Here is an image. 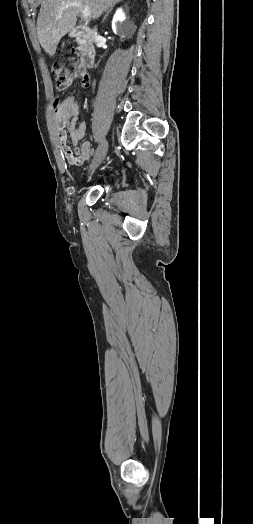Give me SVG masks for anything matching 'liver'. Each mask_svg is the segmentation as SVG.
Masks as SVG:
<instances>
[{
  "label": "liver",
  "instance_id": "obj_1",
  "mask_svg": "<svg viewBox=\"0 0 253 524\" xmlns=\"http://www.w3.org/2000/svg\"><path fill=\"white\" fill-rule=\"evenodd\" d=\"M80 2L90 8L91 17L98 18L118 0H42L37 18V35L45 52L53 56L61 38L76 25L79 13L76 7L61 10L62 5Z\"/></svg>",
  "mask_w": 253,
  "mask_h": 524
}]
</instances>
